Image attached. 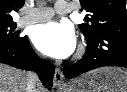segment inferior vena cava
I'll use <instances>...</instances> for the list:
<instances>
[{
    "mask_svg": "<svg viewBox=\"0 0 127 92\" xmlns=\"http://www.w3.org/2000/svg\"><path fill=\"white\" fill-rule=\"evenodd\" d=\"M39 82L38 76L35 72H31L28 75L26 92H36V85Z\"/></svg>",
    "mask_w": 127,
    "mask_h": 92,
    "instance_id": "inferior-vena-cava-1",
    "label": "inferior vena cava"
}]
</instances>
